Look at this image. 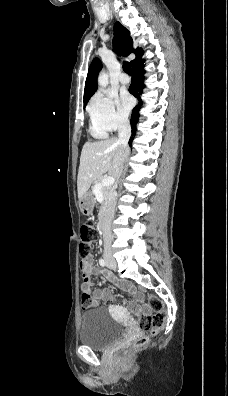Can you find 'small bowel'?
<instances>
[{"instance_id": "small-bowel-1", "label": "small bowel", "mask_w": 228, "mask_h": 396, "mask_svg": "<svg viewBox=\"0 0 228 396\" xmlns=\"http://www.w3.org/2000/svg\"><path fill=\"white\" fill-rule=\"evenodd\" d=\"M80 268L83 276V283L81 284V290L83 293L91 294L95 299L100 301H112L113 295L108 289H93V283L91 281V276L93 274H100L107 280L119 284L122 288L126 289L131 293L135 301L127 302V308L134 314H146L149 312V307L147 304H143L142 295L134 288L129 282H119L112 275L98 269L94 265L92 257L81 261Z\"/></svg>"}]
</instances>
